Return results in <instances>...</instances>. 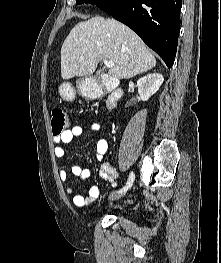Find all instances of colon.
<instances>
[{
    "label": "colon",
    "instance_id": "1",
    "mask_svg": "<svg viewBox=\"0 0 221 263\" xmlns=\"http://www.w3.org/2000/svg\"><path fill=\"white\" fill-rule=\"evenodd\" d=\"M69 124V118L62 109L52 111L51 128L53 136H60L64 133Z\"/></svg>",
    "mask_w": 221,
    "mask_h": 263
}]
</instances>
